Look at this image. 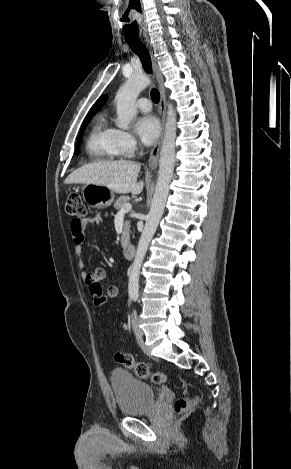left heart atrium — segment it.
I'll use <instances>...</instances> for the list:
<instances>
[{
  "instance_id": "obj_1",
  "label": "left heart atrium",
  "mask_w": 291,
  "mask_h": 469,
  "mask_svg": "<svg viewBox=\"0 0 291 469\" xmlns=\"http://www.w3.org/2000/svg\"><path fill=\"white\" fill-rule=\"evenodd\" d=\"M135 130L144 144L151 145L159 136L160 125L155 116L145 115L136 121Z\"/></svg>"
}]
</instances>
